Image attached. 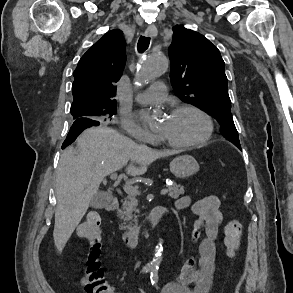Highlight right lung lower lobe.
Returning a JSON list of instances; mask_svg holds the SVG:
<instances>
[{"mask_svg": "<svg viewBox=\"0 0 293 293\" xmlns=\"http://www.w3.org/2000/svg\"><path fill=\"white\" fill-rule=\"evenodd\" d=\"M100 123L101 122H99L95 119H91V118H78V119H76L70 128V131L67 135V138L63 142L62 149H64L69 144H71L84 129L91 127V126H97Z\"/></svg>", "mask_w": 293, "mask_h": 293, "instance_id": "98d812e1", "label": "right lung lower lobe"}]
</instances>
